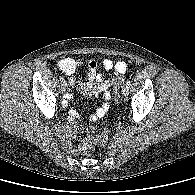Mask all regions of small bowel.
I'll list each match as a JSON object with an SVG mask.
<instances>
[{
	"instance_id": "1",
	"label": "small bowel",
	"mask_w": 195,
	"mask_h": 195,
	"mask_svg": "<svg viewBox=\"0 0 195 195\" xmlns=\"http://www.w3.org/2000/svg\"><path fill=\"white\" fill-rule=\"evenodd\" d=\"M82 65L80 59L66 58L59 63L60 69L67 75H72L75 70ZM100 66L104 70H111L114 68V74L111 77L103 78V76L98 72V63L95 60H89L87 63V76L88 82L80 83L74 79L69 80V84L72 88L82 91L86 95H99L101 94L105 103L97 108L92 114L91 119L97 120L103 117L109 109V100L111 95L109 93L110 87L116 82L122 74L125 73L127 65L124 61L118 60L113 62L111 59H103ZM65 100L69 101L73 98L71 92L65 94ZM81 117V111L78 107H72L69 109V119L71 124H74Z\"/></svg>"
}]
</instances>
